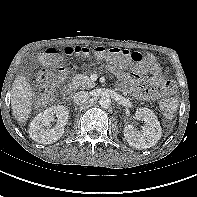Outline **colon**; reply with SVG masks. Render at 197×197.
I'll return each mask as SVG.
<instances>
[{"label":"colon","instance_id":"5ec220e1","mask_svg":"<svg viewBox=\"0 0 197 197\" xmlns=\"http://www.w3.org/2000/svg\"><path fill=\"white\" fill-rule=\"evenodd\" d=\"M91 54L97 58H105L114 62H131L142 69L151 67L155 62V58L151 53L130 51L128 49L118 47H95L93 49L82 46H66L63 48L51 47L43 53L41 61L46 65L57 66V68L46 70L42 73L39 84L35 88V94L39 97L48 96L51 91L65 79V68L59 65V61L62 56H88ZM162 108L164 117L167 120H171L174 117L177 108L176 98L174 96H170L163 100Z\"/></svg>","mask_w":197,"mask_h":197}]
</instances>
